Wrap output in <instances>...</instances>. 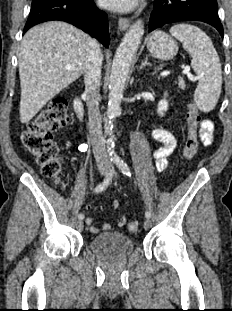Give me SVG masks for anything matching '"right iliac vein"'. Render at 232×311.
I'll return each mask as SVG.
<instances>
[{
	"label": "right iliac vein",
	"instance_id": "1",
	"mask_svg": "<svg viewBox=\"0 0 232 311\" xmlns=\"http://www.w3.org/2000/svg\"><path fill=\"white\" fill-rule=\"evenodd\" d=\"M107 172H108V169H107V168H101V169H100V174H101V175H106ZM77 227H78L79 230H82V229H83L84 223H83L82 220H79V221L77 222Z\"/></svg>",
	"mask_w": 232,
	"mask_h": 311
}]
</instances>
